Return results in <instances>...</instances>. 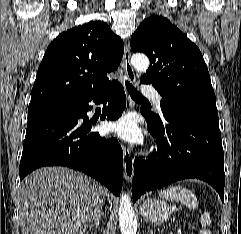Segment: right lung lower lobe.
Segmentation results:
<instances>
[{
    "label": "right lung lower lobe",
    "mask_w": 241,
    "mask_h": 234,
    "mask_svg": "<svg viewBox=\"0 0 241 234\" xmlns=\"http://www.w3.org/2000/svg\"><path fill=\"white\" fill-rule=\"evenodd\" d=\"M109 99L101 119L116 120L126 106L123 86L114 82L100 95L67 110L28 116L20 162V179L43 166H67L105 185L115 196L122 188L123 151L114 138L90 132L95 124L87 117L95 103Z\"/></svg>",
    "instance_id": "98d812e1"
}]
</instances>
